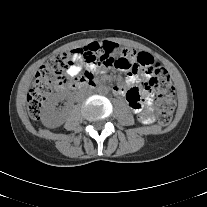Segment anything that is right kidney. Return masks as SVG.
<instances>
[{
    "instance_id": "ca27d5eb",
    "label": "right kidney",
    "mask_w": 207,
    "mask_h": 207,
    "mask_svg": "<svg viewBox=\"0 0 207 207\" xmlns=\"http://www.w3.org/2000/svg\"><path fill=\"white\" fill-rule=\"evenodd\" d=\"M59 95H54L46 104L42 113V123L44 126L54 128L62 125L65 122V116L61 112L56 111V105L60 101Z\"/></svg>"
}]
</instances>
